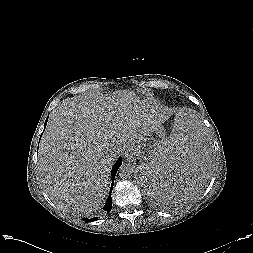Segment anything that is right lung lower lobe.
I'll list each match as a JSON object with an SVG mask.
<instances>
[{"label":"right lung lower lobe","instance_id":"right-lung-lower-lobe-1","mask_svg":"<svg viewBox=\"0 0 253 253\" xmlns=\"http://www.w3.org/2000/svg\"><path fill=\"white\" fill-rule=\"evenodd\" d=\"M47 120L45 121V127L47 124ZM45 129V128H44ZM41 138V137H40ZM122 165V157H120L117 162L114 164V166L112 167V171H111V175H112V184H111V188H110V192H109V196L107 199V202L105 203L104 207H103V211L106 213H109L112 209V198H111V192H112V188H113V183H114V179L117 173L118 168ZM85 221H96L98 220L97 217L92 218V219H84Z\"/></svg>","mask_w":253,"mask_h":253}]
</instances>
